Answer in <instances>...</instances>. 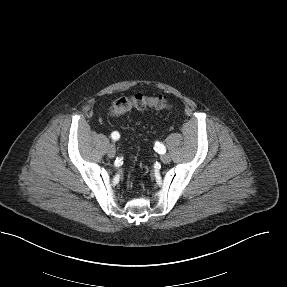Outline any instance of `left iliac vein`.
<instances>
[{
	"label": "left iliac vein",
	"mask_w": 287,
	"mask_h": 287,
	"mask_svg": "<svg viewBox=\"0 0 287 287\" xmlns=\"http://www.w3.org/2000/svg\"><path fill=\"white\" fill-rule=\"evenodd\" d=\"M161 161L163 163H169L171 161V157L169 154H163L161 155Z\"/></svg>",
	"instance_id": "1"
}]
</instances>
